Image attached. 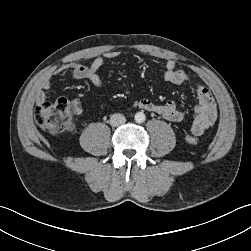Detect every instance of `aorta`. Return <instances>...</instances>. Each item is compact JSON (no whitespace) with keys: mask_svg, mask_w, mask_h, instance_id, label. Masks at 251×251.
Instances as JSON below:
<instances>
[{"mask_svg":"<svg viewBox=\"0 0 251 251\" xmlns=\"http://www.w3.org/2000/svg\"><path fill=\"white\" fill-rule=\"evenodd\" d=\"M137 123H143L146 119V116L143 112H137L134 117Z\"/></svg>","mask_w":251,"mask_h":251,"instance_id":"obj_1","label":"aorta"}]
</instances>
